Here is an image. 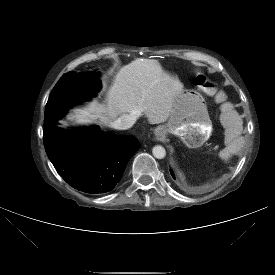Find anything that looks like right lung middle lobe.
<instances>
[{"label": "right lung middle lobe", "instance_id": "obj_1", "mask_svg": "<svg viewBox=\"0 0 275 275\" xmlns=\"http://www.w3.org/2000/svg\"><path fill=\"white\" fill-rule=\"evenodd\" d=\"M100 80L95 73L68 72L63 75L52 90L45 107V120L54 121L64 116L67 109L80 103L99 88Z\"/></svg>", "mask_w": 275, "mask_h": 275}]
</instances>
